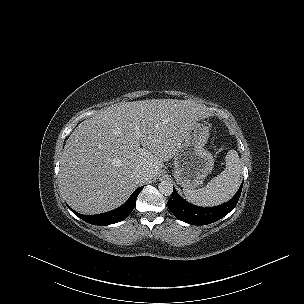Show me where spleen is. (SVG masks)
Masks as SVG:
<instances>
[{"instance_id":"1","label":"spleen","mask_w":304,"mask_h":304,"mask_svg":"<svg viewBox=\"0 0 304 304\" xmlns=\"http://www.w3.org/2000/svg\"><path fill=\"white\" fill-rule=\"evenodd\" d=\"M226 168L200 189L183 188L186 199L198 206H215L228 201L238 190L242 174V164L237 151L229 150Z\"/></svg>"}]
</instances>
